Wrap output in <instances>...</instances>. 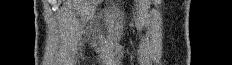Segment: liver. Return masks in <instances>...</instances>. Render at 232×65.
<instances>
[{"mask_svg":"<svg viewBox=\"0 0 232 65\" xmlns=\"http://www.w3.org/2000/svg\"><path fill=\"white\" fill-rule=\"evenodd\" d=\"M72 2H75V1H73V0H69V1H68V3H72Z\"/></svg>","mask_w":232,"mask_h":65,"instance_id":"liver-1","label":"liver"}]
</instances>
